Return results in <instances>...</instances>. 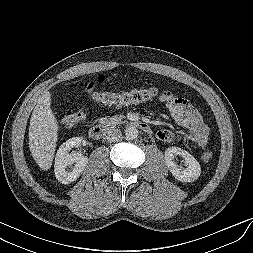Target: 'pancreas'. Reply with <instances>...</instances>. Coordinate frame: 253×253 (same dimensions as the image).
<instances>
[{
    "label": "pancreas",
    "mask_w": 253,
    "mask_h": 253,
    "mask_svg": "<svg viewBox=\"0 0 253 253\" xmlns=\"http://www.w3.org/2000/svg\"><path fill=\"white\" fill-rule=\"evenodd\" d=\"M120 121V117L113 116V117H105L101 119L100 123L104 126H113L116 125Z\"/></svg>",
    "instance_id": "obj_1"
}]
</instances>
